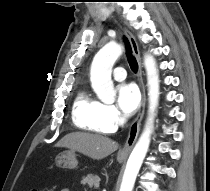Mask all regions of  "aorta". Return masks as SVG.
I'll list each match as a JSON object with an SVG mask.
<instances>
[{
	"label": "aorta",
	"instance_id": "762f6f07",
	"mask_svg": "<svg viewBox=\"0 0 210 191\" xmlns=\"http://www.w3.org/2000/svg\"><path fill=\"white\" fill-rule=\"evenodd\" d=\"M122 54V46L115 42L106 44L95 55L90 80L97 97L104 103L114 102L116 91L111 80L112 67ZM144 66L147 73L149 108L145 128L133 148L124 171L120 191H132L137 174L149 148L152 134V124L156 115L159 100V75L155 59L151 55L144 57Z\"/></svg>",
	"mask_w": 210,
	"mask_h": 191
}]
</instances>
